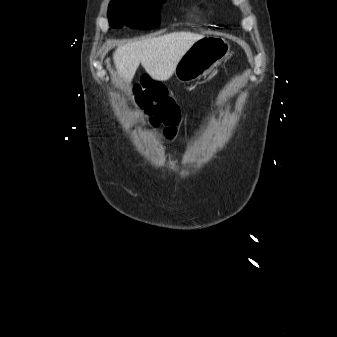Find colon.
<instances>
[{
    "instance_id": "5ec220e1",
    "label": "colon",
    "mask_w": 337,
    "mask_h": 337,
    "mask_svg": "<svg viewBox=\"0 0 337 337\" xmlns=\"http://www.w3.org/2000/svg\"><path fill=\"white\" fill-rule=\"evenodd\" d=\"M139 106L149 116L152 126L163 127L165 134L172 138L180 120L179 108L165 87L144 75L134 87Z\"/></svg>"
}]
</instances>
